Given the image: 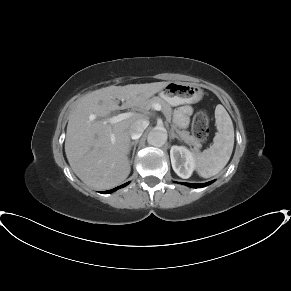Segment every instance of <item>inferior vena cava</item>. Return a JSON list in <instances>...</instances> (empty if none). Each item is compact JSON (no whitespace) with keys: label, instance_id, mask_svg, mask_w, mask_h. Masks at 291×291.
<instances>
[{"label":"inferior vena cava","instance_id":"inferior-vena-cava-1","mask_svg":"<svg viewBox=\"0 0 291 291\" xmlns=\"http://www.w3.org/2000/svg\"><path fill=\"white\" fill-rule=\"evenodd\" d=\"M149 121L146 119L137 120L129 127V134L133 140H137L141 137L144 130L148 127Z\"/></svg>","mask_w":291,"mask_h":291}]
</instances>
